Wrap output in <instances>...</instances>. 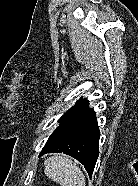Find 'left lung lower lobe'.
<instances>
[{"instance_id":"1","label":"left lung lower lobe","mask_w":138,"mask_h":186,"mask_svg":"<svg viewBox=\"0 0 138 186\" xmlns=\"http://www.w3.org/2000/svg\"><path fill=\"white\" fill-rule=\"evenodd\" d=\"M81 100L59 119L60 125L50 135L39 156L59 152L81 162L92 176L98 155L100 131L94 109Z\"/></svg>"}]
</instances>
